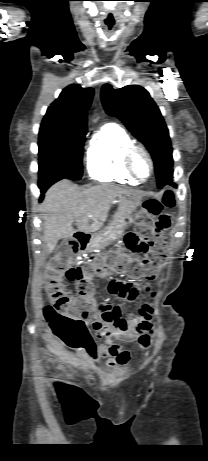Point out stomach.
<instances>
[{"label":"stomach","instance_id":"1","mask_svg":"<svg viewBox=\"0 0 208 461\" xmlns=\"http://www.w3.org/2000/svg\"><path fill=\"white\" fill-rule=\"evenodd\" d=\"M140 199L141 197L138 194L122 195L120 197V205L114 219L104 229L92 236L89 248L103 249L110 242L122 238L126 226L131 221V215L141 205ZM124 214L129 216L127 221L122 219Z\"/></svg>","mask_w":208,"mask_h":461}]
</instances>
